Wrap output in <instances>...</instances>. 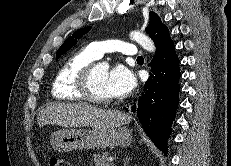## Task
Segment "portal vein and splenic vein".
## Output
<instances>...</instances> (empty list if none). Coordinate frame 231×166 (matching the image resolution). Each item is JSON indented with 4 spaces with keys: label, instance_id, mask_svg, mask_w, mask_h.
I'll use <instances>...</instances> for the list:
<instances>
[{
    "label": "portal vein and splenic vein",
    "instance_id": "obj_1",
    "mask_svg": "<svg viewBox=\"0 0 231 166\" xmlns=\"http://www.w3.org/2000/svg\"><path fill=\"white\" fill-rule=\"evenodd\" d=\"M107 161L110 162V163H112L113 162V158L112 157H108Z\"/></svg>",
    "mask_w": 231,
    "mask_h": 166
}]
</instances>
